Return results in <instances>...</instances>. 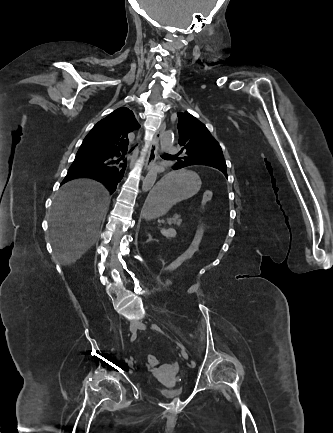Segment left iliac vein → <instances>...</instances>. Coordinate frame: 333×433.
Masks as SVG:
<instances>
[{"mask_svg": "<svg viewBox=\"0 0 333 433\" xmlns=\"http://www.w3.org/2000/svg\"><path fill=\"white\" fill-rule=\"evenodd\" d=\"M135 326H136V328H138L140 330L146 329V325L143 322H140V321L136 322ZM181 355H182V357L184 359H188L189 358L188 354H187V352L185 350H181Z\"/></svg>", "mask_w": 333, "mask_h": 433, "instance_id": "left-iliac-vein-1", "label": "left iliac vein"}]
</instances>
